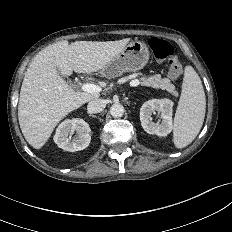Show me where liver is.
<instances>
[{"label": "liver", "instance_id": "6515ba94", "mask_svg": "<svg viewBox=\"0 0 232 232\" xmlns=\"http://www.w3.org/2000/svg\"><path fill=\"white\" fill-rule=\"evenodd\" d=\"M129 41L130 38H125L69 44L64 40L46 47L34 57L25 73L18 105L21 131L33 148L40 149L66 115L99 97V93L76 92L60 74L100 71Z\"/></svg>", "mask_w": 232, "mask_h": 232}]
</instances>
